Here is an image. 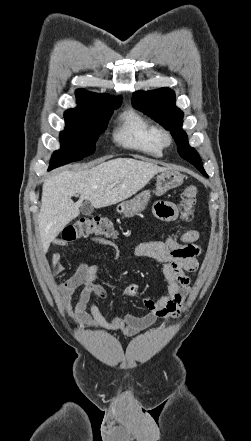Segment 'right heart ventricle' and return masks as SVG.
<instances>
[{"label": "right heart ventricle", "mask_w": 251, "mask_h": 441, "mask_svg": "<svg viewBox=\"0 0 251 441\" xmlns=\"http://www.w3.org/2000/svg\"><path fill=\"white\" fill-rule=\"evenodd\" d=\"M113 139L124 148L152 157H161L163 154L164 146L160 140V128L134 109L121 113Z\"/></svg>", "instance_id": "e07e8e85"}]
</instances>
